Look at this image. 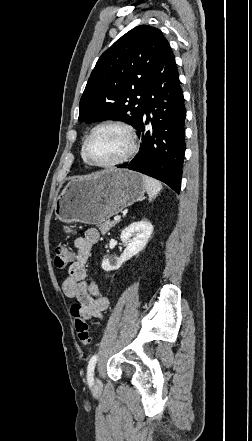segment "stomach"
Listing matches in <instances>:
<instances>
[{
    "label": "stomach",
    "instance_id": "stomach-1",
    "mask_svg": "<svg viewBox=\"0 0 252 441\" xmlns=\"http://www.w3.org/2000/svg\"><path fill=\"white\" fill-rule=\"evenodd\" d=\"M145 182L139 173L111 169L72 179L54 201V214L62 222L98 224L140 200Z\"/></svg>",
    "mask_w": 252,
    "mask_h": 441
}]
</instances>
